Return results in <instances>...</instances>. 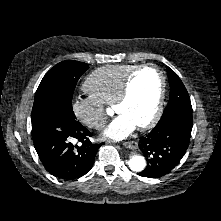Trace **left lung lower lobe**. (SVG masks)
Here are the masks:
<instances>
[{"instance_id":"obj_1","label":"left lung lower lobe","mask_w":221,"mask_h":221,"mask_svg":"<svg viewBox=\"0 0 221 221\" xmlns=\"http://www.w3.org/2000/svg\"><path fill=\"white\" fill-rule=\"evenodd\" d=\"M193 126L192 107L165 111L154 129L139 142L147 167L138 175L159 178L168 174L186 152Z\"/></svg>"}]
</instances>
